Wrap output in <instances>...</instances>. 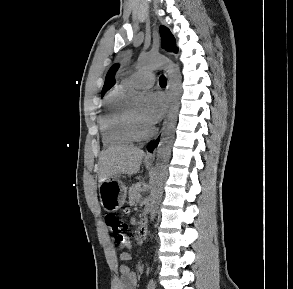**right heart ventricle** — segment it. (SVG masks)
Here are the masks:
<instances>
[{
  "label": "right heart ventricle",
  "mask_w": 293,
  "mask_h": 289,
  "mask_svg": "<svg viewBox=\"0 0 293 289\" xmlns=\"http://www.w3.org/2000/svg\"><path fill=\"white\" fill-rule=\"evenodd\" d=\"M126 90L120 85L109 91L104 98L100 128L105 146L117 147L133 142L129 131V110L124 102Z\"/></svg>",
  "instance_id": "1"
}]
</instances>
